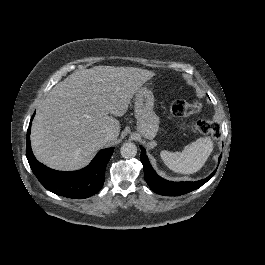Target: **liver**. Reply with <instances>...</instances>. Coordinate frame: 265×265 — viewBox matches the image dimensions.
<instances>
[{"instance_id": "1", "label": "liver", "mask_w": 265, "mask_h": 265, "mask_svg": "<svg viewBox=\"0 0 265 265\" xmlns=\"http://www.w3.org/2000/svg\"><path fill=\"white\" fill-rule=\"evenodd\" d=\"M155 75L135 67L95 66L57 83L37 111L31 129L35 157L57 170H76L117 140L120 122L136 91ZM107 129L114 138L106 140Z\"/></svg>"}]
</instances>
